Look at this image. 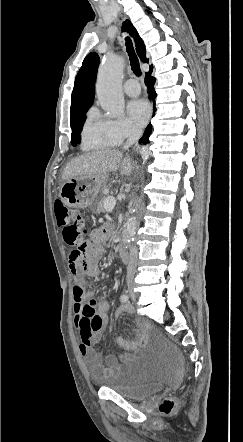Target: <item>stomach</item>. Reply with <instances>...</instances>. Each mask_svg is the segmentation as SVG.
<instances>
[{
	"label": "stomach",
	"instance_id": "obj_1",
	"mask_svg": "<svg viewBox=\"0 0 243 442\" xmlns=\"http://www.w3.org/2000/svg\"><path fill=\"white\" fill-rule=\"evenodd\" d=\"M107 181L108 174L73 177L62 185L59 196L67 206L84 209L94 203Z\"/></svg>",
	"mask_w": 243,
	"mask_h": 442
}]
</instances>
